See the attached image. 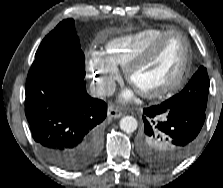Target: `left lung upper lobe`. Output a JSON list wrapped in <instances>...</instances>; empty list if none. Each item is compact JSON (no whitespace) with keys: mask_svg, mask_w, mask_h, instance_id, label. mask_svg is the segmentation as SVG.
Returning a JSON list of instances; mask_svg holds the SVG:
<instances>
[{"mask_svg":"<svg viewBox=\"0 0 223 188\" xmlns=\"http://www.w3.org/2000/svg\"><path fill=\"white\" fill-rule=\"evenodd\" d=\"M210 81L205 67L201 66L189 83L179 93L164 101L162 105L171 108H191L205 112ZM139 153L143 160L157 166H168L171 145L155 131L151 135L140 133Z\"/></svg>","mask_w":223,"mask_h":188,"instance_id":"5c2ea615","label":"left lung upper lobe"}]
</instances>
